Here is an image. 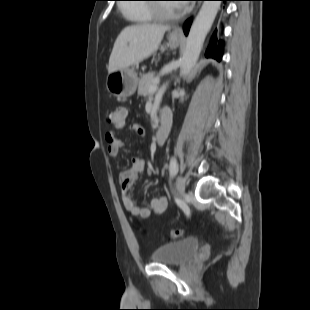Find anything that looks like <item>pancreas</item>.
I'll use <instances>...</instances> for the list:
<instances>
[{"mask_svg":"<svg viewBox=\"0 0 310 310\" xmlns=\"http://www.w3.org/2000/svg\"><path fill=\"white\" fill-rule=\"evenodd\" d=\"M157 84L153 73L145 74L141 77L138 85V94L140 96H151L152 93L149 92V88Z\"/></svg>","mask_w":310,"mask_h":310,"instance_id":"obj_1","label":"pancreas"}]
</instances>
